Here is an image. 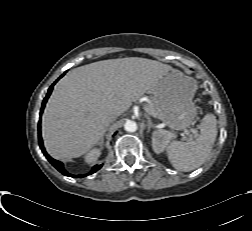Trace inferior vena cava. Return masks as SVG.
I'll return each instance as SVG.
<instances>
[{"label":"inferior vena cava","instance_id":"inferior-vena-cava-1","mask_svg":"<svg viewBox=\"0 0 252 231\" xmlns=\"http://www.w3.org/2000/svg\"><path fill=\"white\" fill-rule=\"evenodd\" d=\"M117 118V115L116 114H111L107 117V122L108 123H111L113 122L115 119Z\"/></svg>","mask_w":252,"mask_h":231}]
</instances>
